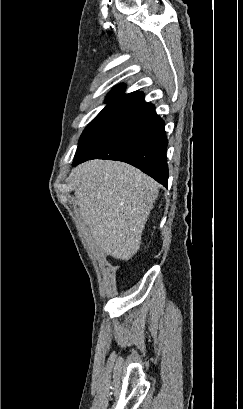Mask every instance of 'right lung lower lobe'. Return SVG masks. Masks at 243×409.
<instances>
[{
  "mask_svg": "<svg viewBox=\"0 0 243 409\" xmlns=\"http://www.w3.org/2000/svg\"><path fill=\"white\" fill-rule=\"evenodd\" d=\"M164 121L154 105L137 93L119 108L79 146L73 166L90 159L129 163L167 187L168 165Z\"/></svg>",
  "mask_w": 243,
  "mask_h": 409,
  "instance_id": "1",
  "label": "right lung lower lobe"
}]
</instances>
